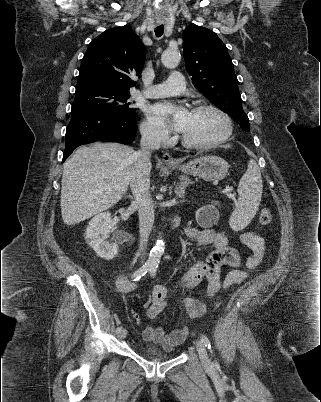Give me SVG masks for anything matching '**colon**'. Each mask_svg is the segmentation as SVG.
<instances>
[{
	"instance_id": "obj_1",
	"label": "colon",
	"mask_w": 321,
	"mask_h": 402,
	"mask_svg": "<svg viewBox=\"0 0 321 402\" xmlns=\"http://www.w3.org/2000/svg\"><path fill=\"white\" fill-rule=\"evenodd\" d=\"M273 220V216H272V212L270 211V209L268 208H264L260 211L259 214V222L261 225L263 226H267L270 225L272 223ZM204 308L203 304H200L198 307H196V312L200 313ZM133 317L135 320H138L139 317L136 313L133 314Z\"/></svg>"
}]
</instances>
